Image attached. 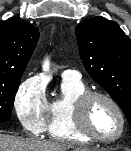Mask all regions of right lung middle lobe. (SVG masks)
<instances>
[{
  "label": "right lung middle lobe",
  "mask_w": 131,
  "mask_h": 151,
  "mask_svg": "<svg viewBox=\"0 0 131 151\" xmlns=\"http://www.w3.org/2000/svg\"><path fill=\"white\" fill-rule=\"evenodd\" d=\"M20 75L0 76V122L11 118L15 94L20 85Z\"/></svg>",
  "instance_id": "dd1d6c3e"
}]
</instances>
